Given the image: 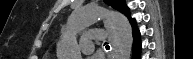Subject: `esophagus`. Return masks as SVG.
Masks as SVG:
<instances>
[{
  "instance_id": "34e87169",
  "label": "esophagus",
  "mask_w": 193,
  "mask_h": 59,
  "mask_svg": "<svg viewBox=\"0 0 193 59\" xmlns=\"http://www.w3.org/2000/svg\"><path fill=\"white\" fill-rule=\"evenodd\" d=\"M104 25L109 31H112L111 23L108 20H104Z\"/></svg>"
}]
</instances>
